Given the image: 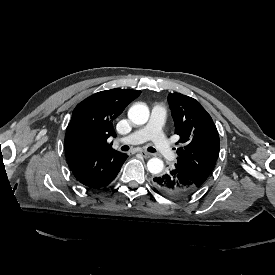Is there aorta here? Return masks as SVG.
Wrapping results in <instances>:
<instances>
[{
	"mask_svg": "<svg viewBox=\"0 0 275 275\" xmlns=\"http://www.w3.org/2000/svg\"><path fill=\"white\" fill-rule=\"evenodd\" d=\"M150 116L149 108L146 104L137 102L131 106L128 111V118L135 125H144L148 122ZM164 163L159 158H151L147 163V168L152 174L162 172Z\"/></svg>",
	"mask_w": 275,
	"mask_h": 275,
	"instance_id": "obj_1",
	"label": "aorta"
}]
</instances>
